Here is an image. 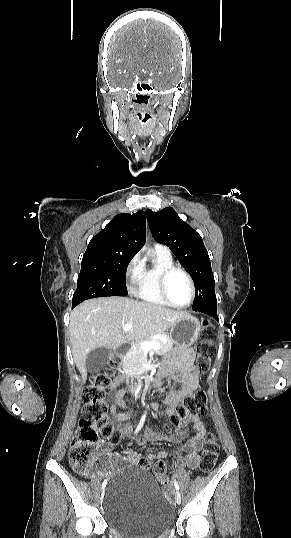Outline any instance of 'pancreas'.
Wrapping results in <instances>:
<instances>
[{"label": "pancreas", "mask_w": 291, "mask_h": 538, "mask_svg": "<svg viewBox=\"0 0 291 538\" xmlns=\"http://www.w3.org/2000/svg\"><path fill=\"white\" fill-rule=\"evenodd\" d=\"M162 337L166 338L167 342H163L161 339H146L148 342H158L160 348L155 350L157 355H163L170 351L173 346L172 340L168 335L162 334ZM142 341H136L132 344L130 351L124 356L123 363L126 368L132 372H141L143 370V363L145 360V351L141 348Z\"/></svg>", "instance_id": "cf45deb5"}]
</instances>
